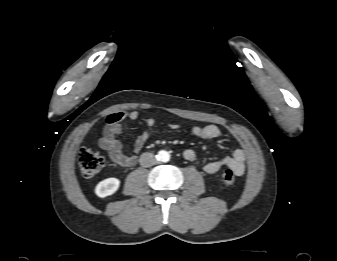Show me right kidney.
Instances as JSON below:
<instances>
[{
    "label": "right kidney",
    "instance_id": "ca27d5eb",
    "mask_svg": "<svg viewBox=\"0 0 337 261\" xmlns=\"http://www.w3.org/2000/svg\"><path fill=\"white\" fill-rule=\"evenodd\" d=\"M120 186V180L117 178H107L99 182L95 188L97 196L104 198L114 194Z\"/></svg>",
    "mask_w": 337,
    "mask_h": 261
}]
</instances>
